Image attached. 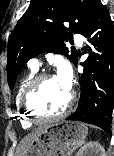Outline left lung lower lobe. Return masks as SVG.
Masks as SVG:
<instances>
[{"mask_svg": "<svg viewBox=\"0 0 114 156\" xmlns=\"http://www.w3.org/2000/svg\"><path fill=\"white\" fill-rule=\"evenodd\" d=\"M82 35L95 51L82 63L85 71L81 75L78 108L66 120L90 123L110 134L114 108V26L100 1L94 6ZM85 48L92 50L89 45Z\"/></svg>", "mask_w": 114, "mask_h": 156, "instance_id": "1", "label": "left lung lower lobe"}]
</instances>
